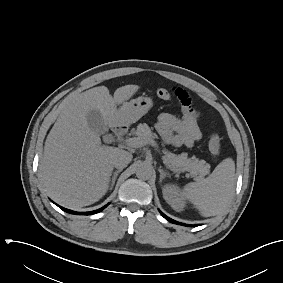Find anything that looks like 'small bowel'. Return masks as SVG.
<instances>
[{
  "mask_svg": "<svg viewBox=\"0 0 283 283\" xmlns=\"http://www.w3.org/2000/svg\"><path fill=\"white\" fill-rule=\"evenodd\" d=\"M173 92L181 103L182 116L161 113L156 128L167 144L174 147H191L202 137L199 128L200 115L192 107L191 98L185 90L174 88Z\"/></svg>",
  "mask_w": 283,
  "mask_h": 283,
  "instance_id": "c3829d8e",
  "label": "small bowel"
}]
</instances>
